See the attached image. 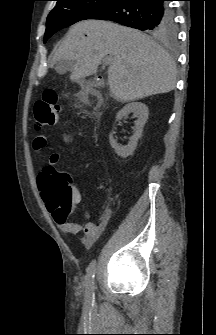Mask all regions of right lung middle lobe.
Returning <instances> with one entry per match:
<instances>
[{
  "instance_id": "dd1d6c3e",
  "label": "right lung middle lobe",
  "mask_w": 216,
  "mask_h": 335,
  "mask_svg": "<svg viewBox=\"0 0 216 335\" xmlns=\"http://www.w3.org/2000/svg\"><path fill=\"white\" fill-rule=\"evenodd\" d=\"M57 4L49 13L46 23L44 43L54 33L78 21L93 19L107 9L116 0H56ZM155 37L173 40L176 27L168 26L164 31L154 34Z\"/></svg>"
}]
</instances>
